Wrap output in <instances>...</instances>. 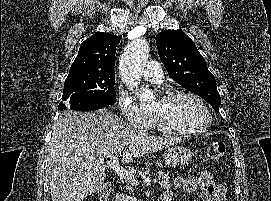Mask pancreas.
I'll list each match as a JSON object with an SVG mask.
<instances>
[{"instance_id":"obj_1","label":"pancreas","mask_w":271,"mask_h":201,"mask_svg":"<svg viewBox=\"0 0 271 201\" xmlns=\"http://www.w3.org/2000/svg\"><path fill=\"white\" fill-rule=\"evenodd\" d=\"M159 184L164 190H168L172 187V184L170 183V178L167 174H159ZM126 189L128 191L132 190L130 186H127Z\"/></svg>"}]
</instances>
